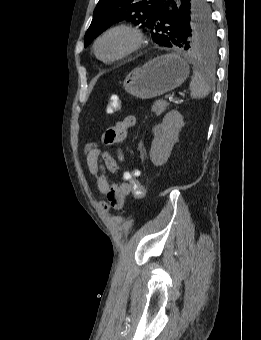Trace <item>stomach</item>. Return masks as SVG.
Here are the masks:
<instances>
[{"label": "stomach", "mask_w": 261, "mask_h": 340, "mask_svg": "<svg viewBox=\"0 0 261 340\" xmlns=\"http://www.w3.org/2000/svg\"><path fill=\"white\" fill-rule=\"evenodd\" d=\"M185 59L175 54L158 56L132 70L123 87L138 99H151L179 87L189 75Z\"/></svg>", "instance_id": "1"}]
</instances>
